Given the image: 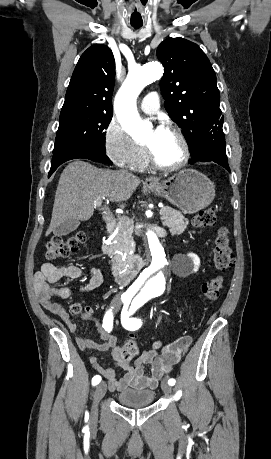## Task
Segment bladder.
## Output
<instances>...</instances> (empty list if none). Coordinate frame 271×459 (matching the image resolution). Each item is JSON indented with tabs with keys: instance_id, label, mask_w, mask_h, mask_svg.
I'll list each match as a JSON object with an SVG mask.
<instances>
[{
	"instance_id": "bladder-1",
	"label": "bladder",
	"mask_w": 271,
	"mask_h": 459,
	"mask_svg": "<svg viewBox=\"0 0 271 459\" xmlns=\"http://www.w3.org/2000/svg\"><path fill=\"white\" fill-rule=\"evenodd\" d=\"M153 390L131 389L119 394V404L141 406L153 403Z\"/></svg>"
}]
</instances>
